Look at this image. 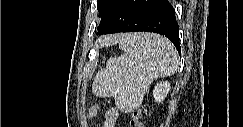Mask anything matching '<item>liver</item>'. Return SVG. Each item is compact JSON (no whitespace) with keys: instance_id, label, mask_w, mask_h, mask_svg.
<instances>
[{"instance_id":"liver-1","label":"liver","mask_w":243,"mask_h":127,"mask_svg":"<svg viewBox=\"0 0 243 127\" xmlns=\"http://www.w3.org/2000/svg\"><path fill=\"white\" fill-rule=\"evenodd\" d=\"M128 36L130 35H124V34H121V35H115L113 36L112 38H108L107 40H111V41H120V40H123L124 38H127Z\"/></svg>"}]
</instances>
